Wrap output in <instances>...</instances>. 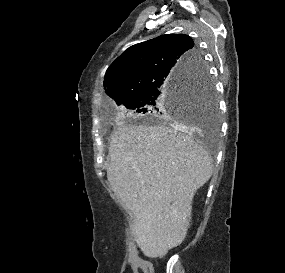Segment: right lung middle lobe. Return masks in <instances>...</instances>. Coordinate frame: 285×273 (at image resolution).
I'll return each instance as SVG.
<instances>
[{
    "label": "right lung middle lobe",
    "instance_id": "dd1d6c3e",
    "mask_svg": "<svg viewBox=\"0 0 285 273\" xmlns=\"http://www.w3.org/2000/svg\"><path fill=\"white\" fill-rule=\"evenodd\" d=\"M123 105L158 119L191 120L213 131L218 127L215 87L204 65L196 73L155 86Z\"/></svg>",
    "mask_w": 285,
    "mask_h": 273
}]
</instances>
